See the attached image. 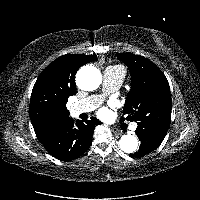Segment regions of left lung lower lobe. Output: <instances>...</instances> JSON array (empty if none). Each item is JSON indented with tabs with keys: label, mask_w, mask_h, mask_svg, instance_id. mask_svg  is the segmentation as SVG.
Masks as SVG:
<instances>
[{
	"label": "left lung lower lobe",
	"mask_w": 200,
	"mask_h": 200,
	"mask_svg": "<svg viewBox=\"0 0 200 200\" xmlns=\"http://www.w3.org/2000/svg\"><path fill=\"white\" fill-rule=\"evenodd\" d=\"M136 134L141 141V146L130 156L140 158L155 150L162 143L166 132L151 125L141 124L137 126Z\"/></svg>",
	"instance_id": "0a47b994"
}]
</instances>
